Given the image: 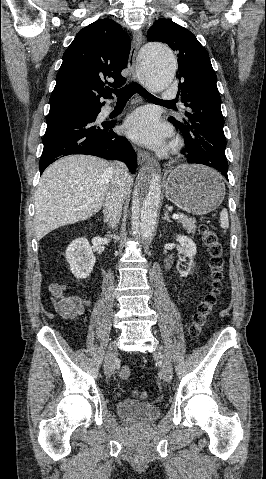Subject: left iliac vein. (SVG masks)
I'll use <instances>...</instances> for the list:
<instances>
[{"label":"left iliac vein","instance_id":"4c4485c4","mask_svg":"<svg viewBox=\"0 0 266 479\" xmlns=\"http://www.w3.org/2000/svg\"><path fill=\"white\" fill-rule=\"evenodd\" d=\"M154 355L159 358L162 364V374L164 379L167 382H170L172 379L173 375V368H172V363L170 361V358L166 352V350L158 346L157 349L154 351Z\"/></svg>","mask_w":266,"mask_h":479}]
</instances>
